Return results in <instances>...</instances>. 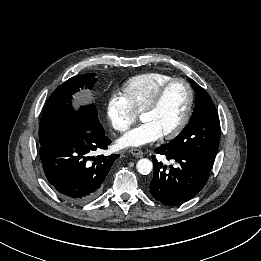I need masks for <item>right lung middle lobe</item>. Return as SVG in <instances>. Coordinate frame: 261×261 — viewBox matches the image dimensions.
<instances>
[{
	"label": "right lung middle lobe",
	"mask_w": 261,
	"mask_h": 261,
	"mask_svg": "<svg viewBox=\"0 0 261 261\" xmlns=\"http://www.w3.org/2000/svg\"><path fill=\"white\" fill-rule=\"evenodd\" d=\"M95 75L91 73L72 77L51 94L44 106L39 125L40 146L78 130H103L95 104L82 106L76 111L71 102L72 95L80 88H93L97 80Z\"/></svg>",
	"instance_id": "1"
}]
</instances>
